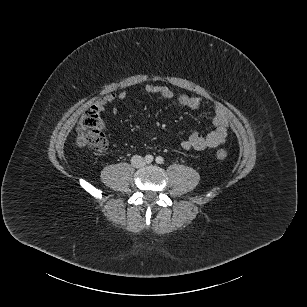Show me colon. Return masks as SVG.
<instances>
[{
  "label": "colon",
  "mask_w": 307,
  "mask_h": 307,
  "mask_svg": "<svg viewBox=\"0 0 307 307\" xmlns=\"http://www.w3.org/2000/svg\"><path fill=\"white\" fill-rule=\"evenodd\" d=\"M76 144L79 147H91L98 152H103L107 149L103 122L96 106L88 108L81 117L76 133ZM226 157L227 153L224 149L217 151V158L219 160H225Z\"/></svg>",
  "instance_id": "colon-1"
}]
</instances>
